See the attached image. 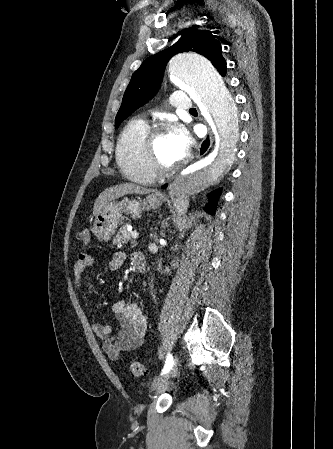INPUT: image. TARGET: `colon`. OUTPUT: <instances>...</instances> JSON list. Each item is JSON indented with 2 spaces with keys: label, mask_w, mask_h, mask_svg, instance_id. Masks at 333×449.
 I'll use <instances>...</instances> for the list:
<instances>
[{
  "label": "colon",
  "mask_w": 333,
  "mask_h": 449,
  "mask_svg": "<svg viewBox=\"0 0 333 449\" xmlns=\"http://www.w3.org/2000/svg\"><path fill=\"white\" fill-rule=\"evenodd\" d=\"M77 238L83 246H87L90 243V231L87 228L82 229L78 233ZM131 371H132L133 375L139 377V376L143 375L144 367L139 362H133L131 364Z\"/></svg>",
  "instance_id": "colon-1"
}]
</instances>
